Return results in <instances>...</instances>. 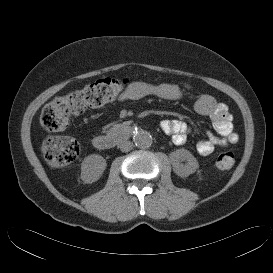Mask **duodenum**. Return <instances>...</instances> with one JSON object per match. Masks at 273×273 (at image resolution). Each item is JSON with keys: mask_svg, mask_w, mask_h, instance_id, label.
Segmentation results:
<instances>
[{"mask_svg": "<svg viewBox=\"0 0 273 273\" xmlns=\"http://www.w3.org/2000/svg\"><path fill=\"white\" fill-rule=\"evenodd\" d=\"M130 133V126L122 125L105 135H97L92 139V144L100 150L111 149L125 141Z\"/></svg>", "mask_w": 273, "mask_h": 273, "instance_id": "obj_1", "label": "duodenum"}]
</instances>
